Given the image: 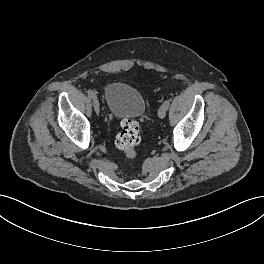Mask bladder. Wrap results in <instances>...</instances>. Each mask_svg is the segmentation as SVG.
Instances as JSON below:
<instances>
[{"label":"bladder","instance_id":"31cf9c89","mask_svg":"<svg viewBox=\"0 0 264 264\" xmlns=\"http://www.w3.org/2000/svg\"><path fill=\"white\" fill-rule=\"evenodd\" d=\"M104 97L109 112L116 118L139 117L146 109L143 95L127 83L118 81L108 83Z\"/></svg>","mask_w":264,"mask_h":264}]
</instances>
